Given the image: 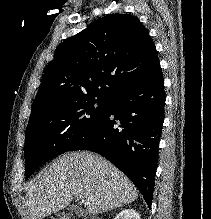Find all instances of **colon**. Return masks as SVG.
<instances>
[{
    "label": "colon",
    "instance_id": "5ec220e1",
    "mask_svg": "<svg viewBox=\"0 0 211 219\" xmlns=\"http://www.w3.org/2000/svg\"><path fill=\"white\" fill-rule=\"evenodd\" d=\"M48 219H74V217H72V216H70L68 214H59L57 216L50 217ZM83 219H101V218L93 216V217H88V218H83Z\"/></svg>",
    "mask_w": 211,
    "mask_h": 219
}]
</instances>
